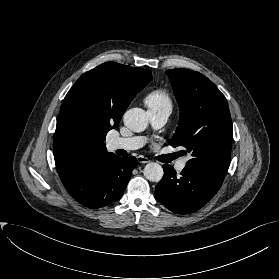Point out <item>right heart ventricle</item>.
<instances>
[{
    "label": "right heart ventricle",
    "instance_id": "right-heart-ventricle-1",
    "mask_svg": "<svg viewBox=\"0 0 279 279\" xmlns=\"http://www.w3.org/2000/svg\"><path fill=\"white\" fill-rule=\"evenodd\" d=\"M145 103L149 110H169L172 108V101L169 93L162 88L154 89L145 97Z\"/></svg>",
    "mask_w": 279,
    "mask_h": 279
}]
</instances>
